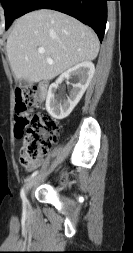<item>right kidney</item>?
<instances>
[{"mask_svg":"<svg viewBox=\"0 0 133 253\" xmlns=\"http://www.w3.org/2000/svg\"><path fill=\"white\" fill-rule=\"evenodd\" d=\"M95 67L92 62H82L67 70L58 80L51 84L46 98V110L55 119L66 118L82 98L93 75ZM75 79L67 98L59 97L56 91L65 79Z\"/></svg>","mask_w":133,"mask_h":253,"instance_id":"right-kidney-1","label":"right kidney"}]
</instances>
